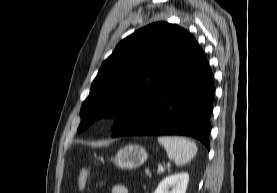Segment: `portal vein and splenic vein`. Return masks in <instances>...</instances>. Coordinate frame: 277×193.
Returning a JSON list of instances; mask_svg holds the SVG:
<instances>
[{"label":"portal vein and splenic vein","mask_w":277,"mask_h":193,"mask_svg":"<svg viewBox=\"0 0 277 193\" xmlns=\"http://www.w3.org/2000/svg\"><path fill=\"white\" fill-rule=\"evenodd\" d=\"M165 168L163 166H160L158 169H157V173H162L164 172ZM147 173L149 174L150 172L147 171Z\"/></svg>","instance_id":"1"}]
</instances>
